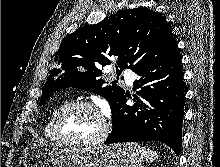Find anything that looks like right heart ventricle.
Returning <instances> with one entry per match:
<instances>
[{"label": "right heart ventricle", "mask_w": 220, "mask_h": 167, "mask_svg": "<svg viewBox=\"0 0 220 167\" xmlns=\"http://www.w3.org/2000/svg\"><path fill=\"white\" fill-rule=\"evenodd\" d=\"M64 103H61L57 105L49 114L44 127H43V135L45 136L46 139H48L51 142H58L54 136L53 130H52V122H53V117L56 113V111L63 105Z\"/></svg>", "instance_id": "1"}]
</instances>
